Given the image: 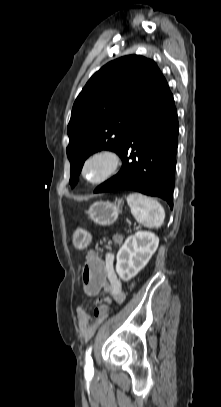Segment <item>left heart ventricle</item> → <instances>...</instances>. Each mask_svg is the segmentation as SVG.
<instances>
[{
	"mask_svg": "<svg viewBox=\"0 0 221 407\" xmlns=\"http://www.w3.org/2000/svg\"><path fill=\"white\" fill-rule=\"evenodd\" d=\"M108 168L106 159H96L90 162L86 168V176L90 180H96L101 177Z\"/></svg>",
	"mask_w": 221,
	"mask_h": 407,
	"instance_id": "left-heart-ventricle-1",
	"label": "left heart ventricle"
}]
</instances>
